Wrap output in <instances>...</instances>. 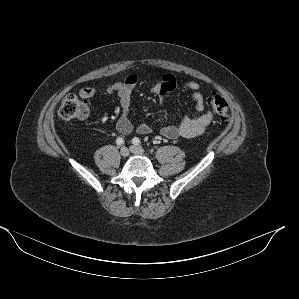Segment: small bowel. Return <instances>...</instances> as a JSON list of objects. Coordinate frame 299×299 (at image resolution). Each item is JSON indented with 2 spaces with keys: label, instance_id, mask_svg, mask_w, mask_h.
Returning a JSON list of instances; mask_svg holds the SVG:
<instances>
[{
  "label": "small bowel",
  "instance_id": "obj_1",
  "mask_svg": "<svg viewBox=\"0 0 299 299\" xmlns=\"http://www.w3.org/2000/svg\"><path fill=\"white\" fill-rule=\"evenodd\" d=\"M138 84V77L136 75H128L123 80L116 81L106 87L109 93H116L120 100V107L122 110L116 126L117 130L122 135H129L133 131L139 134L146 135L151 132V127L145 123L134 125L130 120L131 112V94L133 89ZM177 86L176 78L172 74H163L162 77L154 81L151 85V92L161 97H165L175 90ZM184 87L191 92V99L195 104L196 115L183 116L176 125H165L161 128L162 136L170 139L175 138H192L202 134L209 126L213 119L211 110L206 109L204 97L201 93V85L196 81H187ZM97 90L92 86L84 87L80 90L79 95L83 99H90L94 97Z\"/></svg>",
  "mask_w": 299,
  "mask_h": 299
}]
</instances>
